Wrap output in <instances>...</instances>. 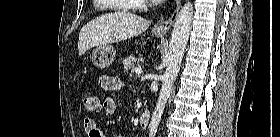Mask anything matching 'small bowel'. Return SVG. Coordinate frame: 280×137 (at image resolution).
Returning a JSON list of instances; mask_svg holds the SVG:
<instances>
[{
  "label": "small bowel",
  "mask_w": 280,
  "mask_h": 137,
  "mask_svg": "<svg viewBox=\"0 0 280 137\" xmlns=\"http://www.w3.org/2000/svg\"><path fill=\"white\" fill-rule=\"evenodd\" d=\"M99 84L105 90H119L123 87L122 81L116 76L102 75L99 78ZM102 108L105 116L113 114L116 109L115 100L111 97L106 98L103 101ZM83 125L88 137H105L104 132L98 127L95 119L85 117L83 119Z\"/></svg>",
  "instance_id": "1"
}]
</instances>
